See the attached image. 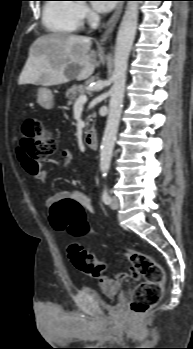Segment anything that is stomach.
<instances>
[{
    "label": "stomach",
    "mask_w": 193,
    "mask_h": 349,
    "mask_svg": "<svg viewBox=\"0 0 193 349\" xmlns=\"http://www.w3.org/2000/svg\"><path fill=\"white\" fill-rule=\"evenodd\" d=\"M37 101L45 109H52L54 106V96L50 89L40 87L37 92Z\"/></svg>",
    "instance_id": "0dacf381"
}]
</instances>
